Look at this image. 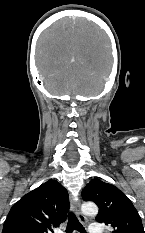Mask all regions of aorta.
Listing matches in <instances>:
<instances>
[{"label":"aorta","instance_id":"1","mask_svg":"<svg viewBox=\"0 0 145 233\" xmlns=\"http://www.w3.org/2000/svg\"><path fill=\"white\" fill-rule=\"evenodd\" d=\"M81 210L85 215L88 216H96L98 214V207L93 202L83 203L81 206Z\"/></svg>","mask_w":145,"mask_h":233}]
</instances>
